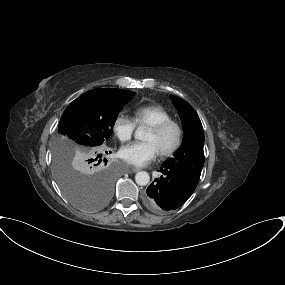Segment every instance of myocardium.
Listing matches in <instances>:
<instances>
[{
    "label": "myocardium",
    "mask_w": 285,
    "mask_h": 285,
    "mask_svg": "<svg viewBox=\"0 0 285 285\" xmlns=\"http://www.w3.org/2000/svg\"><path fill=\"white\" fill-rule=\"evenodd\" d=\"M170 127H174L175 128L177 135H176V140H175L174 144L171 147H169L166 150H163V151L159 152V155L161 157H164V158L172 156L181 147L182 142H183V135H184L183 128H182V126H181V124L179 122H177V121H175L173 119L165 120L163 122H160L158 124L152 125L150 127V129L154 133H156V134L163 133L165 130H167Z\"/></svg>",
    "instance_id": "obj_1"
}]
</instances>
